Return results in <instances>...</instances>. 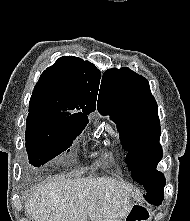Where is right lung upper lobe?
I'll return each instance as SVG.
<instances>
[{
	"label": "right lung upper lobe",
	"instance_id": "obj_1",
	"mask_svg": "<svg viewBox=\"0 0 190 221\" xmlns=\"http://www.w3.org/2000/svg\"><path fill=\"white\" fill-rule=\"evenodd\" d=\"M100 71L74 56L59 58L36 83L29 114L61 116L70 120L88 119L95 111Z\"/></svg>",
	"mask_w": 190,
	"mask_h": 221
}]
</instances>
